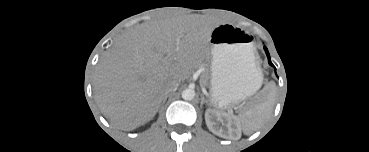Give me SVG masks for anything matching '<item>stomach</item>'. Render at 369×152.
<instances>
[{"label": "stomach", "mask_w": 369, "mask_h": 152, "mask_svg": "<svg viewBox=\"0 0 369 152\" xmlns=\"http://www.w3.org/2000/svg\"><path fill=\"white\" fill-rule=\"evenodd\" d=\"M211 102L231 108L260 87L262 74L252 48V37L232 24H219L211 32Z\"/></svg>", "instance_id": "stomach-1"}]
</instances>
